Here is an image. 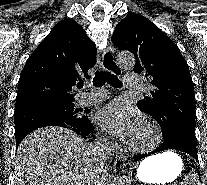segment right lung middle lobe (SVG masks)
<instances>
[{"label":"right lung middle lobe","mask_w":207,"mask_h":185,"mask_svg":"<svg viewBox=\"0 0 207 185\" xmlns=\"http://www.w3.org/2000/svg\"><path fill=\"white\" fill-rule=\"evenodd\" d=\"M90 110L74 108V104H42L14 112L15 133L28 127L56 122L60 125L81 124L88 121Z\"/></svg>","instance_id":"obj_1"}]
</instances>
